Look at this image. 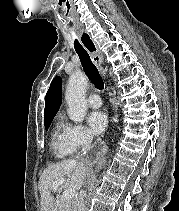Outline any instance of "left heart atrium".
Wrapping results in <instances>:
<instances>
[{"label": "left heart atrium", "mask_w": 179, "mask_h": 211, "mask_svg": "<svg viewBox=\"0 0 179 211\" xmlns=\"http://www.w3.org/2000/svg\"><path fill=\"white\" fill-rule=\"evenodd\" d=\"M87 122L93 135L101 134L107 126L106 115L101 111H93L88 114Z\"/></svg>", "instance_id": "left-heart-atrium-1"}]
</instances>
